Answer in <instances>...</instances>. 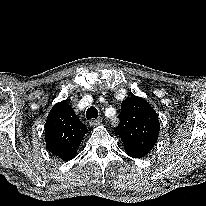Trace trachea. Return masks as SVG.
<instances>
[{
  "label": "trachea",
  "instance_id": "1",
  "mask_svg": "<svg viewBox=\"0 0 206 206\" xmlns=\"http://www.w3.org/2000/svg\"><path fill=\"white\" fill-rule=\"evenodd\" d=\"M87 119H96L98 117V110L95 107L88 108L86 112Z\"/></svg>",
  "mask_w": 206,
  "mask_h": 206
}]
</instances>
